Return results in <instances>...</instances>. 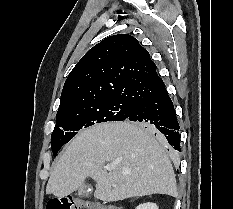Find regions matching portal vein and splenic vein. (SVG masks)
Wrapping results in <instances>:
<instances>
[{
  "label": "portal vein and splenic vein",
  "mask_w": 233,
  "mask_h": 209,
  "mask_svg": "<svg viewBox=\"0 0 233 209\" xmlns=\"http://www.w3.org/2000/svg\"><path fill=\"white\" fill-rule=\"evenodd\" d=\"M105 168H106L108 171H111V170H113V165L108 164Z\"/></svg>",
  "instance_id": "1"
}]
</instances>
